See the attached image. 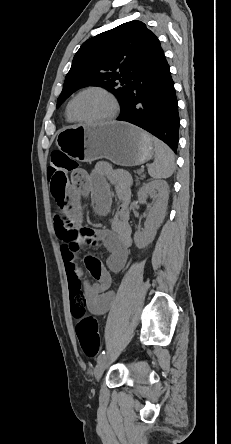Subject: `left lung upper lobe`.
<instances>
[{
    "label": "left lung upper lobe",
    "instance_id": "1",
    "mask_svg": "<svg viewBox=\"0 0 231 444\" xmlns=\"http://www.w3.org/2000/svg\"><path fill=\"white\" fill-rule=\"evenodd\" d=\"M160 49L158 38L141 21H130L90 38L74 56L57 107L85 86L110 89L123 107L135 76Z\"/></svg>",
    "mask_w": 231,
    "mask_h": 444
}]
</instances>
